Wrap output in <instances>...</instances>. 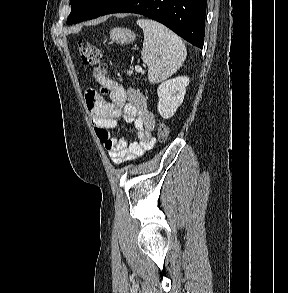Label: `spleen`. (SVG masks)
Wrapping results in <instances>:
<instances>
[{"mask_svg": "<svg viewBox=\"0 0 288 293\" xmlns=\"http://www.w3.org/2000/svg\"><path fill=\"white\" fill-rule=\"evenodd\" d=\"M143 29L144 42L142 60L148 66V80L158 83L173 75L183 64L186 47L174 32L150 19H139Z\"/></svg>", "mask_w": 288, "mask_h": 293, "instance_id": "obj_1", "label": "spleen"}]
</instances>
